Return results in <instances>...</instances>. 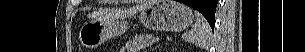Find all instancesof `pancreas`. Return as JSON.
Here are the masks:
<instances>
[{"instance_id":"1","label":"pancreas","mask_w":305,"mask_h":52,"mask_svg":"<svg viewBox=\"0 0 305 52\" xmlns=\"http://www.w3.org/2000/svg\"><path fill=\"white\" fill-rule=\"evenodd\" d=\"M152 38V35L149 34L137 35L126 43L125 49L127 52H140L153 44Z\"/></svg>"}]
</instances>
